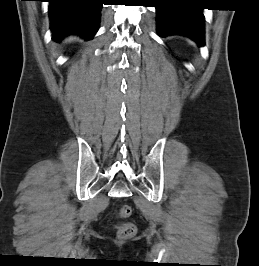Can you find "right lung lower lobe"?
I'll return each mask as SVG.
<instances>
[{"instance_id":"1","label":"right lung lower lobe","mask_w":259,"mask_h":266,"mask_svg":"<svg viewBox=\"0 0 259 266\" xmlns=\"http://www.w3.org/2000/svg\"><path fill=\"white\" fill-rule=\"evenodd\" d=\"M103 0H49L53 38L80 35L89 40L98 30Z\"/></svg>"}]
</instances>
